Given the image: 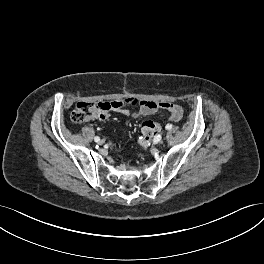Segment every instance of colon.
Returning a JSON list of instances; mask_svg holds the SVG:
<instances>
[{
  "mask_svg": "<svg viewBox=\"0 0 264 264\" xmlns=\"http://www.w3.org/2000/svg\"><path fill=\"white\" fill-rule=\"evenodd\" d=\"M132 103L131 99L116 100L111 102H79L71 113V120L74 123H85L93 119H105L112 109L126 107ZM161 129L160 123L152 120L143 122L141 126L142 135L139 145L146 149L154 136Z\"/></svg>",
  "mask_w": 264,
  "mask_h": 264,
  "instance_id": "obj_1",
  "label": "colon"
}]
</instances>
